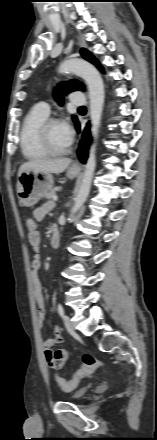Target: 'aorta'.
Here are the masks:
<instances>
[{"instance_id":"obj_1","label":"aorta","mask_w":157,"mask_h":440,"mask_svg":"<svg viewBox=\"0 0 157 440\" xmlns=\"http://www.w3.org/2000/svg\"><path fill=\"white\" fill-rule=\"evenodd\" d=\"M59 71L72 72L84 79L87 84L89 92V113L91 120V132L94 140L96 139L99 123L102 115L103 104H104V86L102 78L96 68L85 60L73 59L64 62ZM96 166L95 158V143L92 144L89 158L87 160L85 171L82 177L81 185L79 191L75 198L74 206L70 211V216L72 217L86 201L90 188L91 182L94 175Z\"/></svg>"}]
</instances>
